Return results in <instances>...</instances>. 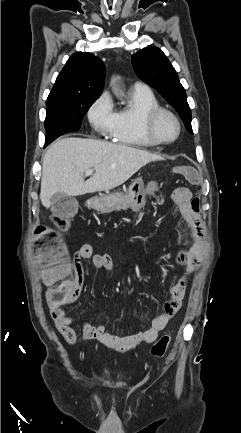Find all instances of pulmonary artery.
Segmentation results:
<instances>
[{
  "mask_svg": "<svg viewBox=\"0 0 241 433\" xmlns=\"http://www.w3.org/2000/svg\"><path fill=\"white\" fill-rule=\"evenodd\" d=\"M132 88L137 89V90H148L149 89L148 85L145 84L144 82H141V81H136L133 84Z\"/></svg>",
  "mask_w": 241,
  "mask_h": 433,
  "instance_id": "e3ab8cb5",
  "label": "pulmonary artery"
}]
</instances>
